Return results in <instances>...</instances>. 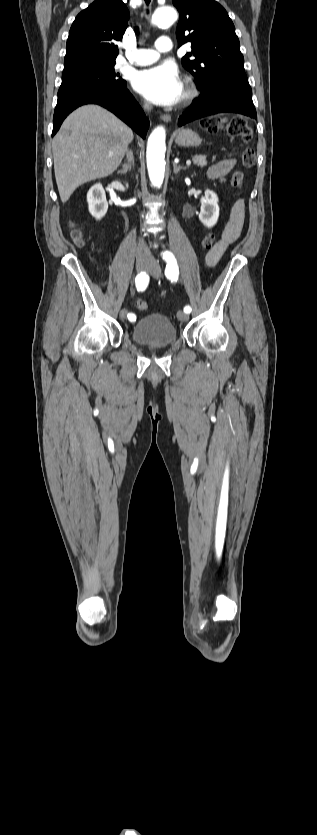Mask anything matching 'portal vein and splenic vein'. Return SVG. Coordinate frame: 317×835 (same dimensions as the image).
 Listing matches in <instances>:
<instances>
[{
    "mask_svg": "<svg viewBox=\"0 0 317 835\" xmlns=\"http://www.w3.org/2000/svg\"><path fill=\"white\" fill-rule=\"evenodd\" d=\"M109 156H111V155H109ZM190 163H191V161H190V160H188V161H187V164H190Z\"/></svg>",
    "mask_w": 317,
    "mask_h": 835,
    "instance_id": "obj_1",
    "label": "portal vein and splenic vein"
}]
</instances>
